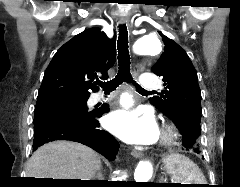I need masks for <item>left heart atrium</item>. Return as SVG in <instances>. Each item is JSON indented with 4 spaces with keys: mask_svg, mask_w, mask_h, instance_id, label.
Listing matches in <instances>:
<instances>
[{
    "mask_svg": "<svg viewBox=\"0 0 240 187\" xmlns=\"http://www.w3.org/2000/svg\"><path fill=\"white\" fill-rule=\"evenodd\" d=\"M106 127L117 137L131 144H150L157 140L159 131L151 114L119 110L106 119Z\"/></svg>",
    "mask_w": 240,
    "mask_h": 187,
    "instance_id": "left-heart-atrium-1",
    "label": "left heart atrium"
}]
</instances>
